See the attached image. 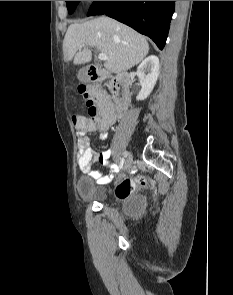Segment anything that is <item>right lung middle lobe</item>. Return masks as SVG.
<instances>
[{
	"label": "right lung middle lobe",
	"mask_w": 233,
	"mask_h": 295,
	"mask_svg": "<svg viewBox=\"0 0 233 295\" xmlns=\"http://www.w3.org/2000/svg\"><path fill=\"white\" fill-rule=\"evenodd\" d=\"M79 1H66L67 9L69 13H72Z\"/></svg>",
	"instance_id": "1"
}]
</instances>
